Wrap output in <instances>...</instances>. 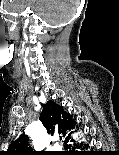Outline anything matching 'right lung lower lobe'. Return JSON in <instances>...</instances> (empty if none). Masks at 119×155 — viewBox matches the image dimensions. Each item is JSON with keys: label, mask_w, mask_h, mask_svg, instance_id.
<instances>
[{"label": "right lung lower lobe", "mask_w": 119, "mask_h": 155, "mask_svg": "<svg viewBox=\"0 0 119 155\" xmlns=\"http://www.w3.org/2000/svg\"><path fill=\"white\" fill-rule=\"evenodd\" d=\"M65 143H70V144L65 145L66 149H70L71 148V143L73 144V150L67 151V153H65V155H93L92 151L83 150V149L88 147L87 145H84L83 148H81L82 144L80 146H79V144L76 145L75 140L71 136L68 139L65 140ZM74 146H77V148H81L82 150L74 151V148H75Z\"/></svg>", "instance_id": "obj_1"}]
</instances>
